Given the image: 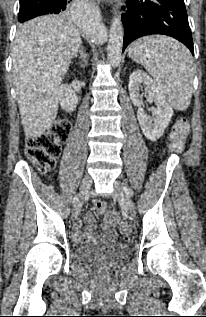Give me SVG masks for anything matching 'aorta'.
<instances>
[{
    "label": "aorta",
    "mask_w": 206,
    "mask_h": 317,
    "mask_svg": "<svg viewBox=\"0 0 206 317\" xmlns=\"http://www.w3.org/2000/svg\"><path fill=\"white\" fill-rule=\"evenodd\" d=\"M78 22L87 34L97 35L99 33V20L91 10L84 9ZM122 48L123 27L120 17L117 16L111 23L107 46L108 61L113 67H116L121 60Z\"/></svg>",
    "instance_id": "762f6f07"
}]
</instances>
